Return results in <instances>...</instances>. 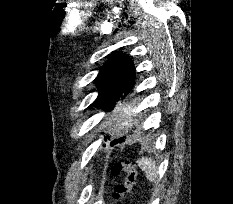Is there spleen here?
I'll return each mask as SVG.
<instances>
[{"label":"spleen","instance_id":"3e777b00","mask_svg":"<svg viewBox=\"0 0 233 204\" xmlns=\"http://www.w3.org/2000/svg\"><path fill=\"white\" fill-rule=\"evenodd\" d=\"M137 163L140 169L145 173L148 181L151 183H156L158 181V168L154 160L148 157H142Z\"/></svg>","mask_w":233,"mask_h":204}]
</instances>
